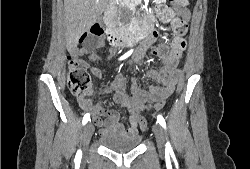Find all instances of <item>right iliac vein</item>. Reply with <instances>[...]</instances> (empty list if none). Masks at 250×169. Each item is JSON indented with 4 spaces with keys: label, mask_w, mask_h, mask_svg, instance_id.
I'll return each mask as SVG.
<instances>
[{
    "label": "right iliac vein",
    "mask_w": 250,
    "mask_h": 169,
    "mask_svg": "<svg viewBox=\"0 0 250 169\" xmlns=\"http://www.w3.org/2000/svg\"><path fill=\"white\" fill-rule=\"evenodd\" d=\"M93 132H94V127L89 123L86 124L83 130V144L85 147H88Z\"/></svg>",
    "instance_id": "right-iliac-vein-1"
}]
</instances>
